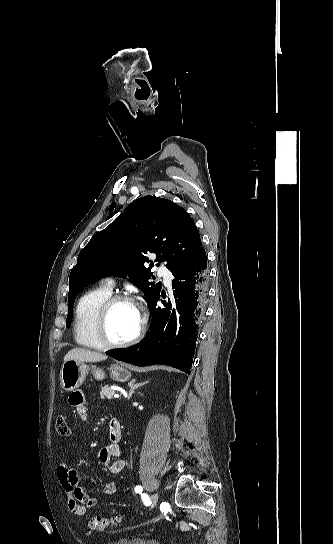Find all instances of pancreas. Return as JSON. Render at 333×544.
<instances>
[{
    "mask_svg": "<svg viewBox=\"0 0 333 544\" xmlns=\"http://www.w3.org/2000/svg\"><path fill=\"white\" fill-rule=\"evenodd\" d=\"M115 394V390L108 387V386H103L101 391H100V398L101 399H109L111 400L113 398V395Z\"/></svg>",
    "mask_w": 333,
    "mask_h": 544,
    "instance_id": "obj_1",
    "label": "pancreas"
}]
</instances>
